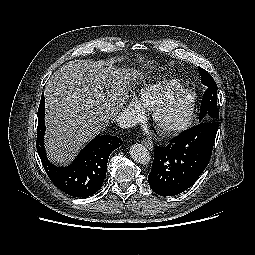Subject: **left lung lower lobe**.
Returning a JSON list of instances; mask_svg holds the SVG:
<instances>
[{
    "instance_id": "0a47b994",
    "label": "left lung lower lobe",
    "mask_w": 255,
    "mask_h": 255,
    "mask_svg": "<svg viewBox=\"0 0 255 255\" xmlns=\"http://www.w3.org/2000/svg\"><path fill=\"white\" fill-rule=\"evenodd\" d=\"M216 122H201L157 146L148 182L161 196H175L188 189L208 165L217 134Z\"/></svg>"
}]
</instances>
